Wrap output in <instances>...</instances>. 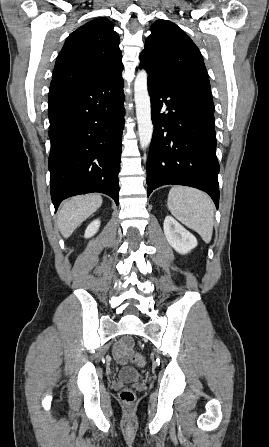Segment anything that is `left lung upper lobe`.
<instances>
[{
  "mask_svg": "<svg viewBox=\"0 0 269 447\" xmlns=\"http://www.w3.org/2000/svg\"><path fill=\"white\" fill-rule=\"evenodd\" d=\"M150 30L140 54V66L150 76L194 94L214 110L210 82L197 46L168 20H157Z\"/></svg>",
  "mask_w": 269,
  "mask_h": 447,
  "instance_id": "5c2ea615",
  "label": "left lung upper lobe"
}]
</instances>
